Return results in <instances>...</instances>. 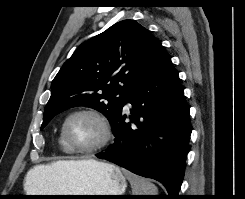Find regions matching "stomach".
Masks as SVG:
<instances>
[{
	"instance_id": "0dacf381",
	"label": "stomach",
	"mask_w": 245,
	"mask_h": 199,
	"mask_svg": "<svg viewBox=\"0 0 245 199\" xmlns=\"http://www.w3.org/2000/svg\"><path fill=\"white\" fill-rule=\"evenodd\" d=\"M65 184L68 187L67 191L48 195H123L127 187L126 176L117 166L95 160L75 170ZM106 197L76 196L44 199H101Z\"/></svg>"
}]
</instances>
